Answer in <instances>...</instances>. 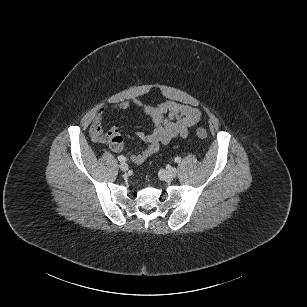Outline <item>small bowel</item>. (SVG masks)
I'll use <instances>...</instances> for the list:
<instances>
[{
    "label": "small bowel",
    "instance_id": "obj_1",
    "mask_svg": "<svg viewBox=\"0 0 307 307\" xmlns=\"http://www.w3.org/2000/svg\"><path fill=\"white\" fill-rule=\"evenodd\" d=\"M130 105L129 101H124L113 108L125 110ZM135 105L143 110L152 124L150 133H138V137L145 145L144 149L138 154H129L130 160L136 164L143 163L155 154L161 145H168L175 139L186 138L189 129L199 122L201 116L197 108L174 101H166L156 106L144 105L141 102H135ZM106 111L107 108H101L92 121L90 137L95 142H108L109 133L118 132L117 125L104 131L102 120Z\"/></svg>",
    "mask_w": 307,
    "mask_h": 307
}]
</instances>
